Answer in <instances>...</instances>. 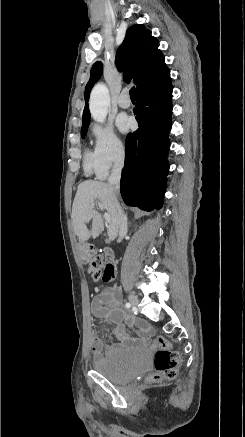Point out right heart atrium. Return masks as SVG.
Wrapping results in <instances>:
<instances>
[{
  "instance_id": "d8ad5b80",
  "label": "right heart atrium",
  "mask_w": 245,
  "mask_h": 437,
  "mask_svg": "<svg viewBox=\"0 0 245 437\" xmlns=\"http://www.w3.org/2000/svg\"><path fill=\"white\" fill-rule=\"evenodd\" d=\"M94 141L92 152L95 172L101 178L110 170L120 166L125 158V144L111 125L95 124L91 128Z\"/></svg>"
}]
</instances>
